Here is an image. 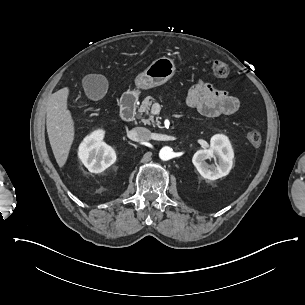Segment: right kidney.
<instances>
[{
    "mask_svg": "<svg viewBox=\"0 0 305 305\" xmlns=\"http://www.w3.org/2000/svg\"><path fill=\"white\" fill-rule=\"evenodd\" d=\"M100 141L101 134L95 133L86 138L79 149L80 159L92 173H100L116 161L113 149Z\"/></svg>",
    "mask_w": 305,
    "mask_h": 305,
    "instance_id": "obj_1",
    "label": "right kidney"
}]
</instances>
